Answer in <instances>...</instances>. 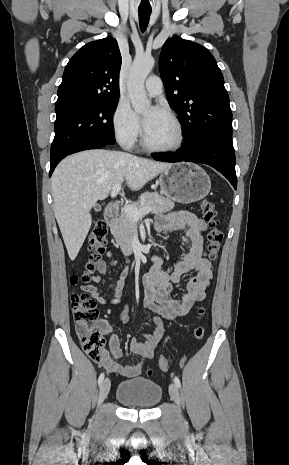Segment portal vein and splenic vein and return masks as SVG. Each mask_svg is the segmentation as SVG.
<instances>
[{"instance_id":"18ae733b","label":"portal vein and splenic vein","mask_w":289,"mask_h":465,"mask_svg":"<svg viewBox=\"0 0 289 465\" xmlns=\"http://www.w3.org/2000/svg\"><path fill=\"white\" fill-rule=\"evenodd\" d=\"M120 190H121V185H116L111 191V197L112 198L116 197L117 194L120 192ZM123 210L131 220L138 221L145 214H148L151 211V207H144L142 209H137L136 207H133L131 205H125Z\"/></svg>"}]
</instances>
